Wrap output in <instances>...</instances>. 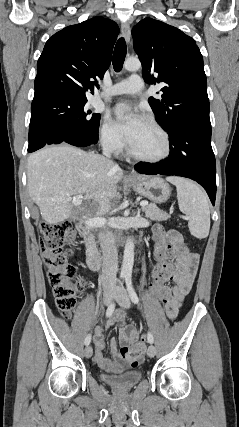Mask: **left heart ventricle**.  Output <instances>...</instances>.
Segmentation results:
<instances>
[{"instance_id": "obj_1", "label": "left heart ventricle", "mask_w": 239, "mask_h": 427, "mask_svg": "<svg viewBox=\"0 0 239 427\" xmlns=\"http://www.w3.org/2000/svg\"><path fill=\"white\" fill-rule=\"evenodd\" d=\"M129 145L134 152L147 157L158 156L164 150L162 135L146 120Z\"/></svg>"}]
</instances>
